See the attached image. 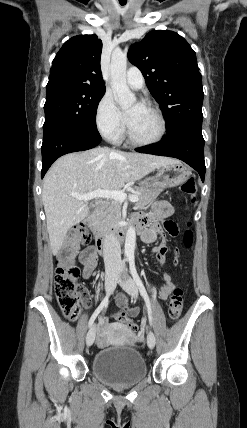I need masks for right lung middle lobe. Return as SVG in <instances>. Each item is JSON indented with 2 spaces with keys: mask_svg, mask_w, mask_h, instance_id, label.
<instances>
[{
  "mask_svg": "<svg viewBox=\"0 0 247 428\" xmlns=\"http://www.w3.org/2000/svg\"><path fill=\"white\" fill-rule=\"evenodd\" d=\"M105 90L64 88L46 93L43 129L59 124L97 130L96 112Z\"/></svg>",
  "mask_w": 247,
  "mask_h": 428,
  "instance_id": "dd1d6c3e",
  "label": "right lung middle lobe"
}]
</instances>
